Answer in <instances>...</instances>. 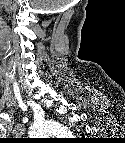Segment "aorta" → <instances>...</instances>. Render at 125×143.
<instances>
[{
	"label": "aorta",
	"instance_id": "762f6f07",
	"mask_svg": "<svg viewBox=\"0 0 125 143\" xmlns=\"http://www.w3.org/2000/svg\"><path fill=\"white\" fill-rule=\"evenodd\" d=\"M31 134L34 136L45 137L49 135H69L70 131L58 122L42 121L33 125Z\"/></svg>",
	"mask_w": 125,
	"mask_h": 143
}]
</instances>
